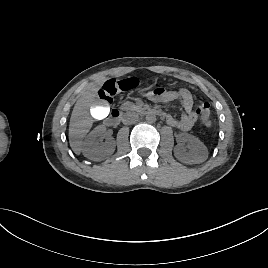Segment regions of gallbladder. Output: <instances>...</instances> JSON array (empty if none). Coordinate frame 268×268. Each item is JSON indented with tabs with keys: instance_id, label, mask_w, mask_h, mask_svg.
<instances>
[{
	"instance_id": "1",
	"label": "gallbladder",
	"mask_w": 268,
	"mask_h": 268,
	"mask_svg": "<svg viewBox=\"0 0 268 268\" xmlns=\"http://www.w3.org/2000/svg\"><path fill=\"white\" fill-rule=\"evenodd\" d=\"M89 113L96 120H103L111 114V105L106 100H97L90 104Z\"/></svg>"
}]
</instances>
